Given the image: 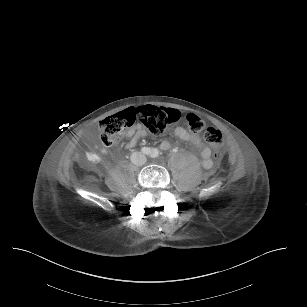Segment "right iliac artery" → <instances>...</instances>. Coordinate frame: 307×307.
Returning a JSON list of instances; mask_svg holds the SVG:
<instances>
[{"label": "right iliac artery", "mask_w": 307, "mask_h": 307, "mask_svg": "<svg viewBox=\"0 0 307 307\" xmlns=\"http://www.w3.org/2000/svg\"><path fill=\"white\" fill-rule=\"evenodd\" d=\"M151 150H152V149H150V148H148V147H143V148L141 149L142 153H144L145 155H149V154L151 153Z\"/></svg>", "instance_id": "1"}]
</instances>
